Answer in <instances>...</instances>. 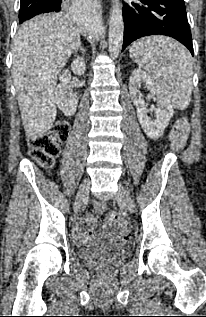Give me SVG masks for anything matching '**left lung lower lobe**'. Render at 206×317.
<instances>
[{
  "mask_svg": "<svg viewBox=\"0 0 206 317\" xmlns=\"http://www.w3.org/2000/svg\"><path fill=\"white\" fill-rule=\"evenodd\" d=\"M124 50L131 42L148 35H166L193 46L184 0H136L123 6Z\"/></svg>",
  "mask_w": 206,
  "mask_h": 317,
  "instance_id": "0a47b994",
  "label": "left lung lower lobe"
}]
</instances>
